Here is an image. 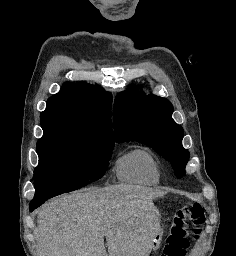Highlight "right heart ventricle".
Masks as SVG:
<instances>
[{
    "instance_id": "e07e8e85",
    "label": "right heart ventricle",
    "mask_w": 236,
    "mask_h": 256,
    "mask_svg": "<svg viewBox=\"0 0 236 256\" xmlns=\"http://www.w3.org/2000/svg\"><path fill=\"white\" fill-rule=\"evenodd\" d=\"M116 176L122 183L155 186L162 179L161 164L148 150L136 148L118 159Z\"/></svg>"
}]
</instances>
